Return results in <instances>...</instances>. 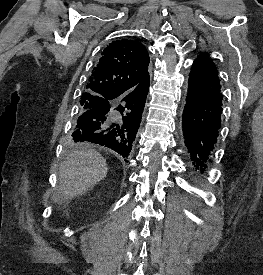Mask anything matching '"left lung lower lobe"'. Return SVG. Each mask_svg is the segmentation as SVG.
Returning <instances> with one entry per match:
<instances>
[{"mask_svg":"<svg viewBox=\"0 0 263 275\" xmlns=\"http://www.w3.org/2000/svg\"><path fill=\"white\" fill-rule=\"evenodd\" d=\"M222 99L217 68L207 54H201L192 65L182 117V131L189 162L200 173L207 170L217 142Z\"/></svg>","mask_w":263,"mask_h":275,"instance_id":"1","label":"left lung lower lobe"}]
</instances>
